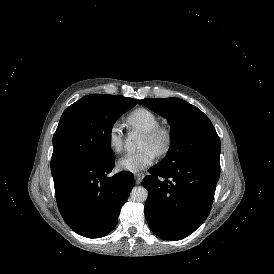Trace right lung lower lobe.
I'll use <instances>...</instances> for the list:
<instances>
[{"instance_id":"obj_1","label":"right lung lower lobe","mask_w":274,"mask_h":274,"mask_svg":"<svg viewBox=\"0 0 274 274\" xmlns=\"http://www.w3.org/2000/svg\"><path fill=\"white\" fill-rule=\"evenodd\" d=\"M114 158L102 163L73 162L51 169L59 211L66 223L88 238L107 235L134 186L127 171L108 177Z\"/></svg>"}]
</instances>
